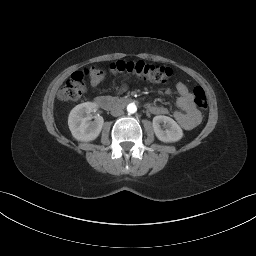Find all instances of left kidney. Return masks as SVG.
Returning a JSON list of instances; mask_svg holds the SVG:
<instances>
[{
    "mask_svg": "<svg viewBox=\"0 0 256 256\" xmlns=\"http://www.w3.org/2000/svg\"><path fill=\"white\" fill-rule=\"evenodd\" d=\"M153 130L156 137L165 143L177 142L183 137L181 127L172 118L164 115L153 118Z\"/></svg>",
    "mask_w": 256,
    "mask_h": 256,
    "instance_id": "obj_1",
    "label": "left kidney"
}]
</instances>
